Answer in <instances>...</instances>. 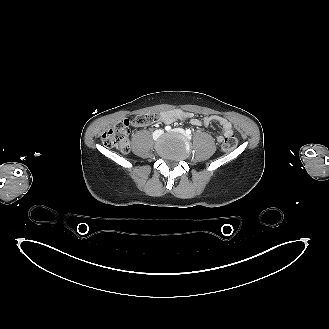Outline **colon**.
<instances>
[{
  "label": "colon",
  "mask_w": 329,
  "mask_h": 329,
  "mask_svg": "<svg viewBox=\"0 0 329 329\" xmlns=\"http://www.w3.org/2000/svg\"><path fill=\"white\" fill-rule=\"evenodd\" d=\"M159 120V115L156 113H145L137 115L134 118H127L120 121L110 129L104 131L101 135L103 144L110 148H116L123 153L129 150V131L131 127H145L154 124ZM238 144V139L235 135L225 137L222 142V148L225 151H232Z\"/></svg>",
  "instance_id": "obj_1"
}]
</instances>
